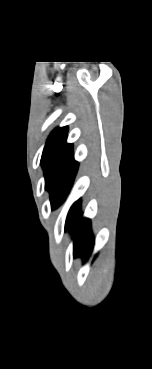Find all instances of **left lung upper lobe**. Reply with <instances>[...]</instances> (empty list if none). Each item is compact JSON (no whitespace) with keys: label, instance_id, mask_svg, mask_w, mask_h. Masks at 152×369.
Segmentation results:
<instances>
[{"label":"left lung upper lobe","instance_id":"obj_1","mask_svg":"<svg viewBox=\"0 0 152 369\" xmlns=\"http://www.w3.org/2000/svg\"><path fill=\"white\" fill-rule=\"evenodd\" d=\"M67 132V126L55 129L46 142L41 158L45 172V188L50 192L52 209L57 208L65 200L78 169V162L73 157V146L66 143ZM74 205L68 213L65 229Z\"/></svg>","mask_w":152,"mask_h":369}]
</instances>
